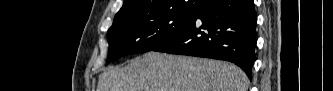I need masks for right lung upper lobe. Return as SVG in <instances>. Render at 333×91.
Segmentation results:
<instances>
[{
	"mask_svg": "<svg viewBox=\"0 0 333 91\" xmlns=\"http://www.w3.org/2000/svg\"><path fill=\"white\" fill-rule=\"evenodd\" d=\"M206 0H125L113 24L163 12L199 11Z\"/></svg>",
	"mask_w": 333,
	"mask_h": 91,
	"instance_id": "right-lung-upper-lobe-1",
	"label": "right lung upper lobe"
}]
</instances>
